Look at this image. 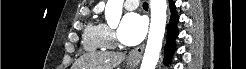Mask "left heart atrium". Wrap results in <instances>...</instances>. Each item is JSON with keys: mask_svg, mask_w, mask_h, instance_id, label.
<instances>
[{"mask_svg": "<svg viewBox=\"0 0 246 69\" xmlns=\"http://www.w3.org/2000/svg\"><path fill=\"white\" fill-rule=\"evenodd\" d=\"M146 32V20L138 13H127L118 30V39L121 43L132 46L138 44L144 38Z\"/></svg>", "mask_w": 246, "mask_h": 69, "instance_id": "obj_1", "label": "left heart atrium"}]
</instances>
